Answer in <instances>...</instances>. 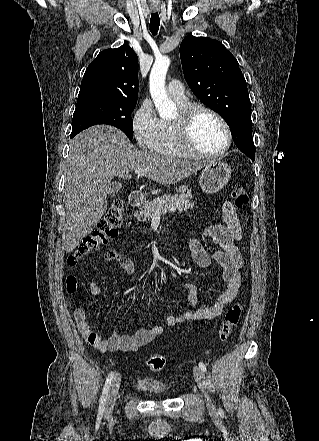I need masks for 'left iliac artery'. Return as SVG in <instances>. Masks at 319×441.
Listing matches in <instances>:
<instances>
[{
  "mask_svg": "<svg viewBox=\"0 0 319 441\" xmlns=\"http://www.w3.org/2000/svg\"><path fill=\"white\" fill-rule=\"evenodd\" d=\"M199 367L201 368L202 371H204V372L207 371V368L203 362H199Z\"/></svg>",
  "mask_w": 319,
  "mask_h": 441,
  "instance_id": "left-iliac-artery-1",
  "label": "left iliac artery"
}]
</instances>
